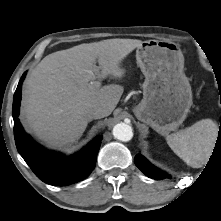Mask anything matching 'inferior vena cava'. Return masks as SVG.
<instances>
[{
	"instance_id": "inferior-vena-cava-1",
	"label": "inferior vena cava",
	"mask_w": 221,
	"mask_h": 221,
	"mask_svg": "<svg viewBox=\"0 0 221 221\" xmlns=\"http://www.w3.org/2000/svg\"><path fill=\"white\" fill-rule=\"evenodd\" d=\"M101 110L98 107L88 108L85 111V116L91 121L100 117Z\"/></svg>"
}]
</instances>
